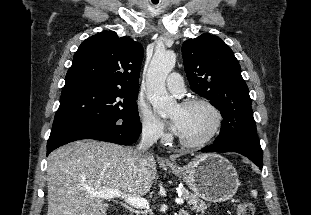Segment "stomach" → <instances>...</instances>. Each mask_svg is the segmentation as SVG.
I'll return each instance as SVG.
<instances>
[{
	"instance_id": "obj_1",
	"label": "stomach",
	"mask_w": 311,
	"mask_h": 215,
	"mask_svg": "<svg viewBox=\"0 0 311 215\" xmlns=\"http://www.w3.org/2000/svg\"><path fill=\"white\" fill-rule=\"evenodd\" d=\"M170 169L194 194L212 203L230 200L239 186L235 168L218 154H201L183 167L170 166Z\"/></svg>"
}]
</instances>
